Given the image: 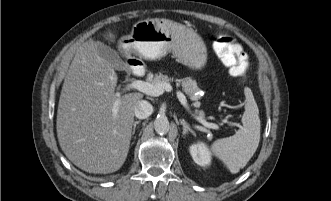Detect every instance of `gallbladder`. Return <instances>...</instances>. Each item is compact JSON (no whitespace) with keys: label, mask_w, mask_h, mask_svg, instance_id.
<instances>
[{"label":"gallbladder","mask_w":331,"mask_h":201,"mask_svg":"<svg viewBox=\"0 0 331 201\" xmlns=\"http://www.w3.org/2000/svg\"><path fill=\"white\" fill-rule=\"evenodd\" d=\"M97 46L98 54L108 61L112 66L117 70H124L126 68V64L122 59L119 57L118 53L113 50L111 47L101 43V42H94Z\"/></svg>","instance_id":"1"}]
</instances>
